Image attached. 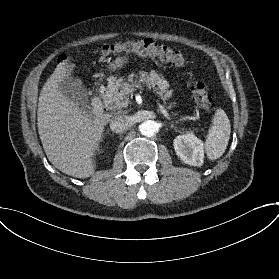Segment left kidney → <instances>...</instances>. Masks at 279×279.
I'll return each mask as SVG.
<instances>
[{
	"label": "left kidney",
	"instance_id": "obj_1",
	"mask_svg": "<svg viewBox=\"0 0 279 279\" xmlns=\"http://www.w3.org/2000/svg\"><path fill=\"white\" fill-rule=\"evenodd\" d=\"M174 149L180 159L192 166H201L203 163L204 147L194 135H180L174 140Z\"/></svg>",
	"mask_w": 279,
	"mask_h": 279
}]
</instances>
